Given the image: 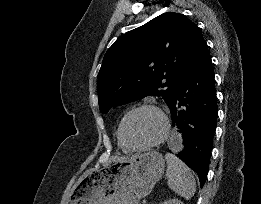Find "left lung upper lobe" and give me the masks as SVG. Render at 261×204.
<instances>
[{
  "label": "left lung upper lobe",
  "instance_id": "1",
  "mask_svg": "<svg viewBox=\"0 0 261 204\" xmlns=\"http://www.w3.org/2000/svg\"><path fill=\"white\" fill-rule=\"evenodd\" d=\"M199 31L183 14L166 12L119 37L98 73L100 111L148 95L162 96L169 107Z\"/></svg>",
  "mask_w": 261,
  "mask_h": 204
}]
</instances>
